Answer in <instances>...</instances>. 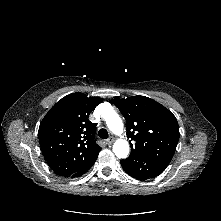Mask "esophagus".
<instances>
[{
  "mask_svg": "<svg viewBox=\"0 0 221 221\" xmlns=\"http://www.w3.org/2000/svg\"><path fill=\"white\" fill-rule=\"evenodd\" d=\"M113 142H114L113 138H109V139L106 140L107 145H111Z\"/></svg>",
  "mask_w": 221,
  "mask_h": 221,
  "instance_id": "esophagus-1",
  "label": "esophagus"
}]
</instances>
